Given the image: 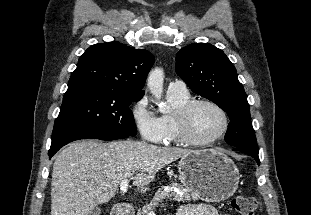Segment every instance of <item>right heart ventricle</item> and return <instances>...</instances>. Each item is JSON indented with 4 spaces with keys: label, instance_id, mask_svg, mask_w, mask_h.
Listing matches in <instances>:
<instances>
[{
    "label": "right heart ventricle",
    "instance_id": "e07e8e85",
    "mask_svg": "<svg viewBox=\"0 0 311 215\" xmlns=\"http://www.w3.org/2000/svg\"><path fill=\"white\" fill-rule=\"evenodd\" d=\"M167 99L172 107V111L161 116L167 132L165 142H181L175 120V114L179 108L191 101L192 98L189 92L168 91Z\"/></svg>",
    "mask_w": 311,
    "mask_h": 215
}]
</instances>
